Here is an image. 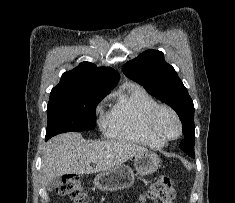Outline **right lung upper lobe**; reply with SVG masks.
<instances>
[{
  "instance_id": "cb5924a9",
  "label": "right lung upper lobe",
  "mask_w": 235,
  "mask_h": 203,
  "mask_svg": "<svg viewBox=\"0 0 235 203\" xmlns=\"http://www.w3.org/2000/svg\"><path fill=\"white\" fill-rule=\"evenodd\" d=\"M119 78L118 72L110 67L82 62L73 70L63 73L60 83L53 89H91L109 93Z\"/></svg>"
}]
</instances>
